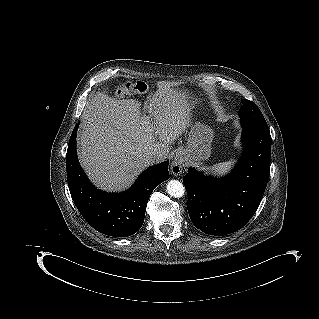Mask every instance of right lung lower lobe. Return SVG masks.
<instances>
[{
	"mask_svg": "<svg viewBox=\"0 0 319 319\" xmlns=\"http://www.w3.org/2000/svg\"><path fill=\"white\" fill-rule=\"evenodd\" d=\"M75 126L66 154L69 190L83 218L97 231L127 237L136 233L144 222L148 199L152 191L169 179L168 161L149 167L134 185L123 193H106L95 188L82 170L76 154Z\"/></svg>",
	"mask_w": 319,
	"mask_h": 319,
	"instance_id": "obj_1",
	"label": "right lung lower lobe"
}]
</instances>
